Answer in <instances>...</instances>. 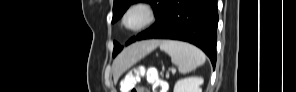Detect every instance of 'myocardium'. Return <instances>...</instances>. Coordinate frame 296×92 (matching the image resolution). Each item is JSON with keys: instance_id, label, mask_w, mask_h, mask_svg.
I'll return each mask as SVG.
<instances>
[{"instance_id": "obj_1", "label": "myocardium", "mask_w": 296, "mask_h": 92, "mask_svg": "<svg viewBox=\"0 0 296 92\" xmlns=\"http://www.w3.org/2000/svg\"><path fill=\"white\" fill-rule=\"evenodd\" d=\"M134 11H141L144 14V20L137 26H129L128 16ZM156 18L155 10L153 7L145 2H138L131 5L123 14L122 24L125 29L132 32H137L146 29L149 27Z\"/></svg>"}]
</instances>
